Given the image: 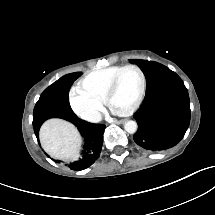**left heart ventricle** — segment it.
<instances>
[{"mask_svg":"<svg viewBox=\"0 0 215 215\" xmlns=\"http://www.w3.org/2000/svg\"><path fill=\"white\" fill-rule=\"evenodd\" d=\"M119 83L121 86L111 94L110 101L117 107H127L130 105L135 93L137 76L133 71H123Z\"/></svg>","mask_w":215,"mask_h":215,"instance_id":"1","label":"left heart ventricle"}]
</instances>
